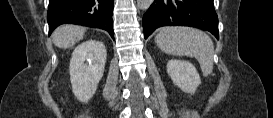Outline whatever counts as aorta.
Here are the masks:
<instances>
[{
    "mask_svg": "<svg viewBox=\"0 0 273 118\" xmlns=\"http://www.w3.org/2000/svg\"><path fill=\"white\" fill-rule=\"evenodd\" d=\"M153 0H137V7L141 10H146L150 7Z\"/></svg>",
    "mask_w": 273,
    "mask_h": 118,
    "instance_id": "762f6f07",
    "label": "aorta"
}]
</instances>
